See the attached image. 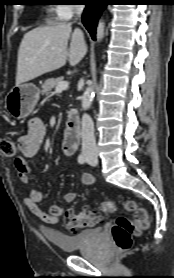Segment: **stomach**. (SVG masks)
<instances>
[{
	"label": "stomach",
	"instance_id": "obj_1",
	"mask_svg": "<svg viewBox=\"0 0 174 278\" xmlns=\"http://www.w3.org/2000/svg\"><path fill=\"white\" fill-rule=\"evenodd\" d=\"M39 98L40 91L34 84L16 85L5 97V108L13 118L23 119L32 113Z\"/></svg>",
	"mask_w": 174,
	"mask_h": 278
}]
</instances>
